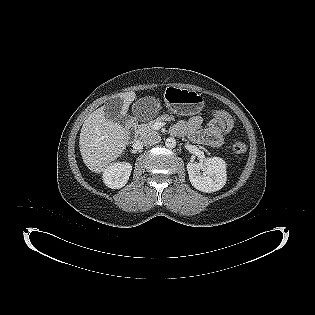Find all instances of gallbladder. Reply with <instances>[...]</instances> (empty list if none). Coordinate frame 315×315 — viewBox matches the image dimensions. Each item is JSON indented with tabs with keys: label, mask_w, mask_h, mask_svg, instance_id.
Listing matches in <instances>:
<instances>
[{
	"label": "gallbladder",
	"mask_w": 315,
	"mask_h": 315,
	"mask_svg": "<svg viewBox=\"0 0 315 315\" xmlns=\"http://www.w3.org/2000/svg\"><path fill=\"white\" fill-rule=\"evenodd\" d=\"M122 108H123L122 99L115 98V99L109 100L104 105V116L109 121L121 122L122 121V115H121Z\"/></svg>",
	"instance_id": "gallbladder-1"
}]
</instances>
